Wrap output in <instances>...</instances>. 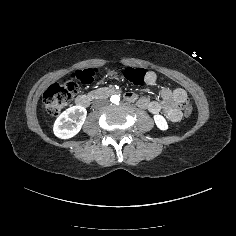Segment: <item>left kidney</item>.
Instances as JSON below:
<instances>
[{
    "label": "left kidney",
    "mask_w": 236,
    "mask_h": 236,
    "mask_svg": "<svg viewBox=\"0 0 236 236\" xmlns=\"http://www.w3.org/2000/svg\"><path fill=\"white\" fill-rule=\"evenodd\" d=\"M154 120H155V123H156L157 127L160 130H167L168 129V124H167V122H166V120L163 116L155 115Z\"/></svg>",
    "instance_id": "1"
}]
</instances>
